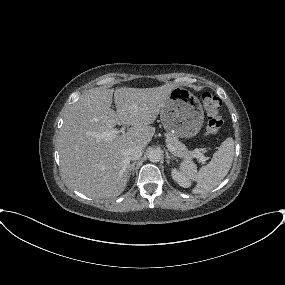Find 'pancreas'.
Listing matches in <instances>:
<instances>
[{"label": "pancreas", "instance_id": "pancreas-1", "mask_svg": "<svg viewBox=\"0 0 285 285\" xmlns=\"http://www.w3.org/2000/svg\"><path fill=\"white\" fill-rule=\"evenodd\" d=\"M166 142L175 148V151L173 152L175 156L186 160H191L194 157L192 151H189L173 134H167Z\"/></svg>", "mask_w": 285, "mask_h": 285}]
</instances>
